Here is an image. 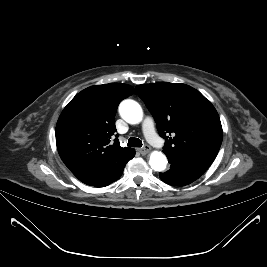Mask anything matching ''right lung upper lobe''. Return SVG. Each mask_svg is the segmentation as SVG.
<instances>
[{
    "label": "right lung upper lobe",
    "mask_w": 267,
    "mask_h": 267,
    "mask_svg": "<svg viewBox=\"0 0 267 267\" xmlns=\"http://www.w3.org/2000/svg\"><path fill=\"white\" fill-rule=\"evenodd\" d=\"M135 93L132 86L119 83L91 86L78 93L62 111L56 125L59 155L83 183L94 185L135 156L122 148L116 132L119 103Z\"/></svg>",
    "instance_id": "cb5924a9"
}]
</instances>
